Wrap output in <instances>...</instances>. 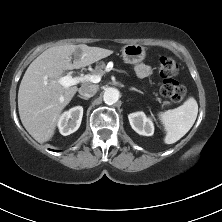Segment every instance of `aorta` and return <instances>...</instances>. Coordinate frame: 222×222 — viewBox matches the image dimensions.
I'll list each match as a JSON object with an SVG mask.
<instances>
[{"instance_id":"762f6f07","label":"aorta","mask_w":222,"mask_h":222,"mask_svg":"<svg viewBox=\"0 0 222 222\" xmlns=\"http://www.w3.org/2000/svg\"><path fill=\"white\" fill-rule=\"evenodd\" d=\"M120 92L116 88L109 87L105 90L103 100L106 104L112 105L119 99Z\"/></svg>"}]
</instances>
